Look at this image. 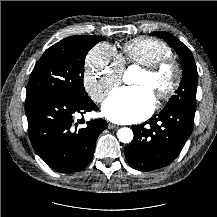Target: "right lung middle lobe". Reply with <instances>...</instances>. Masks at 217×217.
Here are the masks:
<instances>
[{
  "label": "right lung middle lobe",
  "instance_id": "dd1d6c3e",
  "mask_svg": "<svg viewBox=\"0 0 217 217\" xmlns=\"http://www.w3.org/2000/svg\"><path fill=\"white\" fill-rule=\"evenodd\" d=\"M101 40L99 36H70L48 48L30 75L26 99L37 96L88 98L83 86L84 61L88 51Z\"/></svg>",
  "mask_w": 217,
  "mask_h": 217
}]
</instances>
